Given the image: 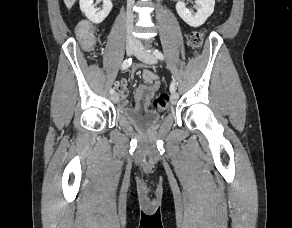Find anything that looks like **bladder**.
<instances>
[{
    "label": "bladder",
    "mask_w": 292,
    "mask_h": 228,
    "mask_svg": "<svg viewBox=\"0 0 292 228\" xmlns=\"http://www.w3.org/2000/svg\"><path fill=\"white\" fill-rule=\"evenodd\" d=\"M122 115L135 127L139 129H151L161 121V115L154 110L130 111L125 110Z\"/></svg>",
    "instance_id": "1"
}]
</instances>
